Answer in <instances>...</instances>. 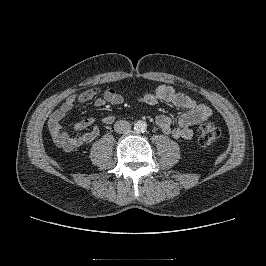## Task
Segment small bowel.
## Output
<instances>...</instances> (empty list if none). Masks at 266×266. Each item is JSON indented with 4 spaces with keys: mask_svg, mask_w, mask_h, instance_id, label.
Instances as JSON below:
<instances>
[{
    "mask_svg": "<svg viewBox=\"0 0 266 266\" xmlns=\"http://www.w3.org/2000/svg\"><path fill=\"white\" fill-rule=\"evenodd\" d=\"M92 99L93 94H90V92L71 95L51 114L48 120V131L52 141L57 146L70 151L92 142L99 135V128L95 126L85 131L86 128L94 123L95 118L93 117L83 118L76 122L73 125L74 134L72 135L68 134L62 126V121L75 106L84 104ZM123 101L122 95L111 88L106 89L102 96L94 98V104L98 107H103L107 104L120 105ZM140 101L147 105L164 101L186 110L176 122L167 115H160L156 118V126L164 134L171 135L175 139H191L193 128L212 116V110L207 105L165 85H159L153 91L146 92L142 95ZM115 118L114 115H108L102 121L105 124H111Z\"/></svg>",
    "mask_w": 266,
    "mask_h": 266,
    "instance_id": "c3829d8e",
    "label": "small bowel"
}]
</instances>
